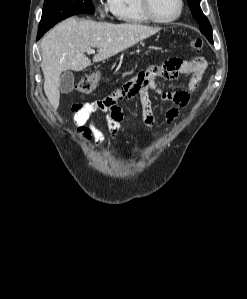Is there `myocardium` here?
I'll use <instances>...</instances> for the list:
<instances>
[{
    "label": "myocardium",
    "instance_id": "obj_1",
    "mask_svg": "<svg viewBox=\"0 0 247 299\" xmlns=\"http://www.w3.org/2000/svg\"><path fill=\"white\" fill-rule=\"evenodd\" d=\"M178 2V11L175 16L169 18V19H160L158 18L153 10H152V3L151 0H141L142 9L145 13V15L153 22L158 24H170L172 22H175L178 20L182 14L183 11V0H177Z\"/></svg>",
    "mask_w": 247,
    "mask_h": 299
}]
</instances>
